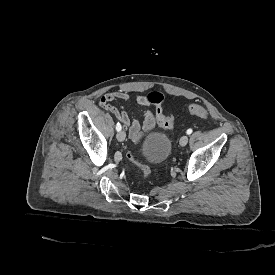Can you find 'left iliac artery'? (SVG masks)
<instances>
[{
	"instance_id": "1",
	"label": "left iliac artery",
	"mask_w": 275,
	"mask_h": 275,
	"mask_svg": "<svg viewBox=\"0 0 275 275\" xmlns=\"http://www.w3.org/2000/svg\"><path fill=\"white\" fill-rule=\"evenodd\" d=\"M186 133L189 135V134H191L192 133V129H188L187 131H186Z\"/></svg>"
}]
</instances>
